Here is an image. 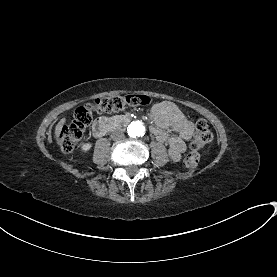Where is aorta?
<instances>
[{"label":"aorta","mask_w":277,"mask_h":277,"mask_svg":"<svg viewBox=\"0 0 277 277\" xmlns=\"http://www.w3.org/2000/svg\"><path fill=\"white\" fill-rule=\"evenodd\" d=\"M145 130V126L140 121H133L127 128L128 135L133 138L143 136Z\"/></svg>","instance_id":"1"}]
</instances>
